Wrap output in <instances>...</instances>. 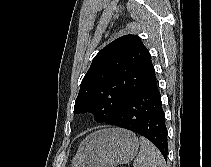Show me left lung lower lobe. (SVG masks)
<instances>
[{"label": "left lung lower lobe", "mask_w": 211, "mask_h": 167, "mask_svg": "<svg viewBox=\"0 0 211 167\" xmlns=\"http://www.w3.org/2000/svg\"><path fill=\"white\" fill-rule=\"evenodd\" d=\"M136 132L150 140L167 160L168 143L165 113L163 111L156 75L133 93L107 122Z\"/></svg>", "instance_id": "1"}]
</instances>
